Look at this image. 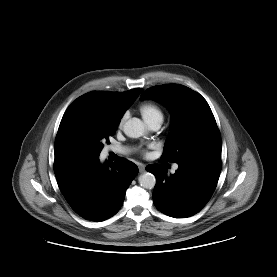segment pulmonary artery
Returning a JSON list of instances; mask_svg holds the SVG:
<instances>
[{
	"label": "pulmonary artery",
	"instance_id": "pulmonary-artery-1",
	"mask_svg": "<svg viewBox=\"0 0 277 277\" xmlns=\"http://www.w3.org/2000/svg\"><path fill=\"white\" fill-rule=\"evenodd\" d=\"M161 123H162L161 121H154V122H152V123H150L148 125H149V127L152 130H158L160 128V126H161ZM108 152H113V153H116V154H124V153L127 152V149L122 148V147L112 146V147L108 148ZM173 169L176 170L177 169V165H175L173 167Z\"/></svg>",
	"mask_w": 277,
	"mask_h": 277
}]
</instances>
